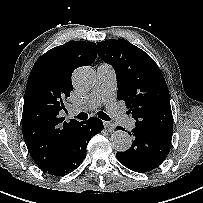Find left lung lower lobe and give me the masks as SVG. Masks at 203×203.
Returning <instances> with one entry per match:
<instances>
[{"mask_svg":"<svg viewBox=\"0 0 203 203\" xmlns=\"http://www.w3.org/2000/svg\"><path fill=\"white\" fill-rule=\"evenodd\" d=\"M128 133L134 140L127 151L117 152L119 162L138 173L158 168L169 153L172 137L137 127Z\"/></svg>","mask_w":203,"mask_h":203,"instance_id":"left-lung-lower-lobe-1","label":"left lung lower lobe"}]
</instances>
